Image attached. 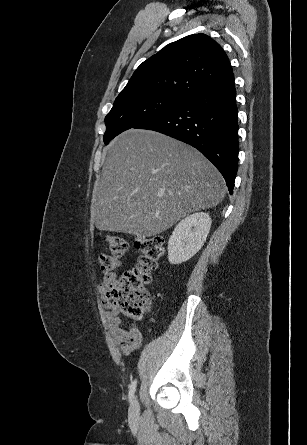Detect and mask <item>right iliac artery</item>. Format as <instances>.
Listing matches in <instances>:
<instances>
[{
  "mask_svg": "<svg viewBox=\"0 0 307 445\" xmlns=\"http://www.w3.org/2000/svg\"><path fill=\"white\" fill-rule=\"evenodd\" d=\"M136 384H137V381L136 380H134L131 384H130V386H129V401L132 403V400H133V397H134V393H135V390H136Z\"/></svg>",
  "mask_w": 307,
  "mask_h": 445,
  "instance_id": "1",
  "label": "right iliac artery"
}]
</instances>
